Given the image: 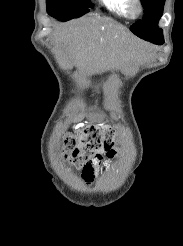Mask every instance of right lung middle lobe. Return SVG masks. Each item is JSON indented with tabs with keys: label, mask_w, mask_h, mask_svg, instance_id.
Returning <instances> with one entry per match:
<instances>
[{
	"label": "right lung middle lobe",
	"mask_w": 183,
	"mask_h": 246,
	"mask_svg": "<svg viewBox=\"0 0 183 246\" xmlns=\"http://www.w3.org/2000/svg\"><path fill=\"white\" fill-rule=\"evenodd\" d=\"M46 3L48 14L61 21L78 18L92 8L90 0H46Z\"/></svg>",
	"instance_id": "dd1d6c3e"
}]
</instances>
